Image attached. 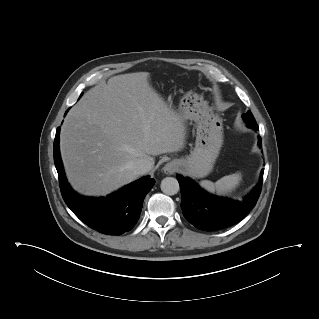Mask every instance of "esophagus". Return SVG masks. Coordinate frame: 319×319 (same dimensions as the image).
Returning <instances> with one entry per match:
<instances>
[{"label":"esophagus","mask_w":319,"mask_h":319,"mask_svg":"<svg viewBox=\"0 0 319 319\" xmlns=\"http://www.w3.org/2000/svg\"><path fill=\"white\" fill-rule=\"evenodd\" d=\"M164 172L166 174H173L175 172V167L172 164H166L163 168Z\"/></svg>","instance_id":"obj_1"}]
</instances>
